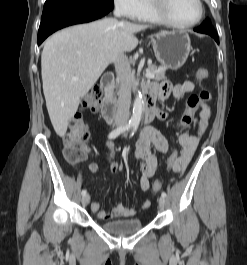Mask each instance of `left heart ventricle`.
Returning a JSON list of instances; mask_svg holds the SVG:
<instances>
[{
    "label": "left heart ventricle",
    "mask_w": 247,
    "mask_h": 265,
    "mask_svg": "<svg viewBox=\"0 0 247 265\" xmlns=\"http://www.w3.org/2000/svg\"><path fill=\"white\" fill-rule=\"evenodd\" d=\"M168 12L179 23H189L199 14L197 0H168Z\"/></svg>",
    "instance_id": "obj_1"
}]
</instances>
